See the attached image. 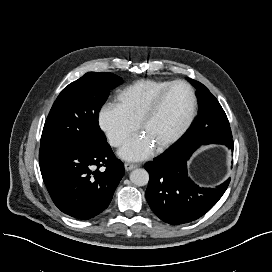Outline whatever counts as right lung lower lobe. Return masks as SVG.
<instances>
[{
    "mask_svg": "<svg viewBox=\"0 0 272 272\" xmlns=\"http://www.w3.org/2000/svg\"><path fill=\"white\" fill-rule=\"evenodd\" d=\"M41 174L55 205L82 220L104 211L112 200L124 165L107 142L47 145L39 152Z\"/></svg>",
    "mask_w": 272,
    "mask_h": 272,
    "instance_id": "1",
    "label": "right lung lower lobe"
}]
</instances>
